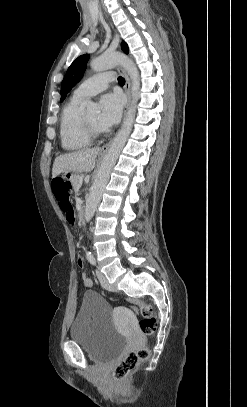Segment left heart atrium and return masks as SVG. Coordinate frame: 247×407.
<instances>
[{"instance_id":"39dd6f15","label":"left heart atrium","mask_w":247,"mask_h":407,"mask_svg":"<svg viewBox=\"0 0 247 407\" xmlns=\"http://www.w3.org/2000/svg\"><path fill=\"white\" fill-rule=\"evenodd\" d=\"M123 98L119 93H108L101 98V112L99 124L103 128H109L116 124L121 116Z\"/></svg>"}]
</instances>
